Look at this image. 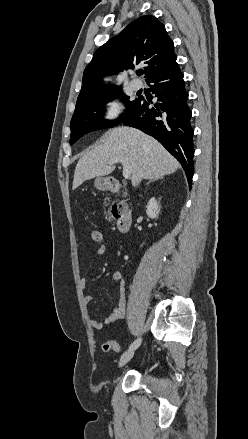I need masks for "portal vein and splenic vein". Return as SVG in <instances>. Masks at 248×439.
<instances>
[{
    "label": "portal vein and splenic vein",
    "instance_id": "obj_1",
    "mask_svg": "<svg viewBox=\"0 0 248 439\" xmlns=\"http://www.w3.org/2000/svg\"><path fill=\"white\" fill-rule=\"evenodd\" d=\"M118 162L122 163V165H123V176H124V178H129L131 176V174H132V167L128 164V162L125 159L117 158V159H114V160H110L108 163L110 165H113V164L118 163Z\"/></svg>",
    "mask_w": 248,
    "mask_h": 439
}]
</instances>
